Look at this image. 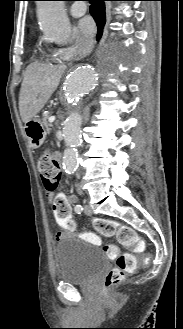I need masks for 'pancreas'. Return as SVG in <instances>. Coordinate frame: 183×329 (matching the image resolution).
<instances>
[{"instance_id": "pancreas-1", "label": "pancreas", "mask_w": 183, "mask_h": 329, "mask_svg": "<svg viewBox=\"0 0 183 329\" xmlns=\"http://www.w3.org/2000/svg\"><path fill=\"white\" fill-rule=\"evenodd\" d=\"M48 118H49L48 114L44 115L42 123L45 126L46 130L49 132L50 131V128H49L50 125L48 124Z\"/></svg>"}]
</instances>
